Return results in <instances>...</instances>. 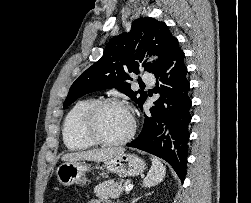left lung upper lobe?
<instances>
[{"instance_id": "5c2ea615", "label": "left lung upper lobe", "mask_w": 251, "mask_h": 203, "mask_svg": "<svg viewBox=\"0 0 251 203\" xmlns=\"http://www.w3.org/2000/svg\"><path fill=\"white\" fill-rule=\"evenodd\" d=\"M176 38L164 22L153 18L133 21L128 33L113 37L103 56L90 66L70 87L63 108L90 92L116 88L129 96L140 107L147 98L144 91L131 90L128 73L139 74V69L153 73L165 60ZM159 56L158 61L142 63L145 54Z\"/></svg>"}]
</instances>
